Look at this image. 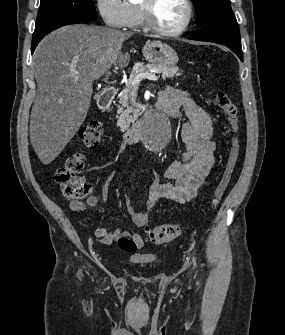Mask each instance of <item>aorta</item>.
<instances>
[{"label": "aorta", "mask_w": 285, "mask_h": 335, "mask_svg": "<svg viewBox=\"0 0 285 335\" xmlns=\"http://www.w3.org/2000/svg\"><path fill=\"white\" fill-rule=\"evenodd\" d=\"M145 116L144 125L137 127V134L145 137L143 147H170V137L174 134L173 119H165V112H146Z\"/></svg>", "instance_id": "762f6f07"}]
</instances>
